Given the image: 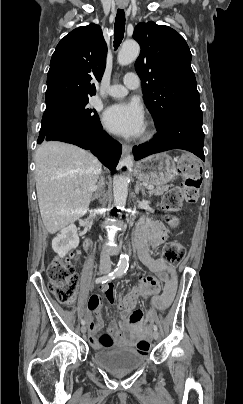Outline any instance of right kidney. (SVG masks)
<instances>
[{"label": "right kidney", "mask_w": 243, "mask_h": 404, "mask_svg": "<svg viewBox=\"0 0 243 404\" xmlns=\"http://www.w3.org/2000/svg\"><path fill=\"white\" fill-rule=\"evenodd\" d=\"M77 246H79V238L77 228L74 224L61 230L60 234H57L56 238L52 240V250H54L60 258H64L67 252L74 250Z\"/></svg>", "instance_id": "right-kidney-1"}]
</instances>
